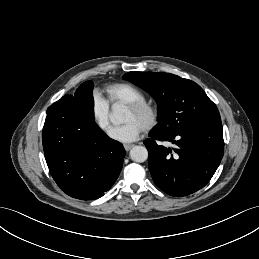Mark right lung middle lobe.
<instances>
[{
  "label": "right lung middle lobe",
  "mask_w": 259,
  "mask_h": 259,
  "mask_svg": "<svg viewBox=\"0 0 259 259\" xmlns=\"http://www.w3.org/2000/svg\"><path fill=\"white\" fill-rule=\"evenodd\" d=\"M93 87L92 81H87L77 89L74 97H71L73 102L78 106L82 116L89 121H94Z\"/></svg>",
  "instance_id": "1"
}]
</instances>
